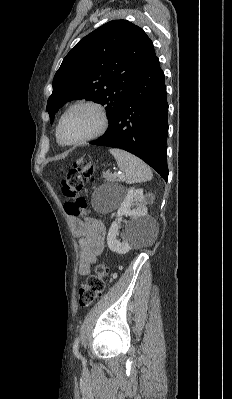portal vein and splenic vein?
Segmentation results:
<instances>
[{
	"mask_svg": "<svg viewBox=\"0 0 232 399\" xmlns=\"http://www.w3.org/2000/svg\"><path fill=\"white\" fill-rule=\"evenodd\" d=\"M118 174H119V176H122V172H118ZM114 176H115V174H114Z\"/></svg>",
	"mask_w": 232,
	"mask_h": 399,
	"instance_id": "18ae733b",
	"label": "portal vein and splenic vein"
}]
</instances>
